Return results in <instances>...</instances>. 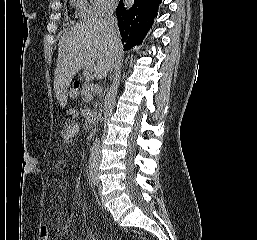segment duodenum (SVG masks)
<instances>
[{
  "label": "duodenum",
  "mask_w": 257,
  "mask_h": 240,
  "mask_svg": "<svg viewBox=\"0 0 257 240\" xmlns=\"http://www.w3.org/2000/svg\"><path fill=\"white\" fill-rule=\"evenodd\" d=\"M101 119V114L100 113H96L93 115V120L94 121H99Z\"/></svg>",
  "instance_id": "1"
}]
</instances>
